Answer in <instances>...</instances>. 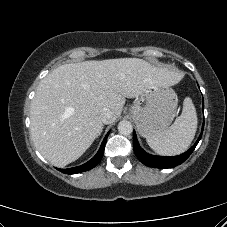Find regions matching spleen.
I'll return each instance as SVG.
<instances>
[{"label":"spleen","instance_id":"3e777b00","mask_svg":"<svg viewBox=\"0 0 227 227\" xmlns=\"http://www.w3.org/2000/svg\"><path fill=\"white\" fill-rule=\"evenodd\" d=\"M197 114L191 98L183 102L181 115L166 130L146 137L151 149L164 156H174L188 149L197 129Z\"/></svg>","mask_w":227,"mask_h":227}]
</instances>
